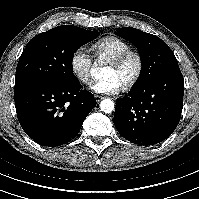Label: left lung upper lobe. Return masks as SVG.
Masks as SVG:
<instances>
[{
    "mask_svg": "<svg viewBox=\"0 0 199 199\" xmlns=\"http://www.w3.org/2000/svg\"><path fill=\"white\" fill-rule=\"evenodd\" d=\"M116 34L133 43L140 54L142 73L135 88L164 72L179 68L174 53L159 37L131 27L119 28Z\"/></svg>",
    "mask_w": 199,
    "mask_h": 199,
    "instance_id": "5c2ea615",
    "label": "left lung upper lobe"
}]
</instances>
